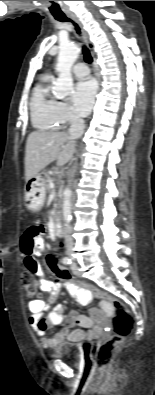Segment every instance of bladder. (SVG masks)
<instances>
[{
    "instance_id": "obj_1",
    "label": "bladder",
    "mask_w": 155,
    "mask_h": 395,
    "mask_svg": "<svg viewBox=\"0 0 155 395\" xmlns=\"http://www.w3.org/2000/svg\"><path fill=\"white\" fill-rule=\"evenodd\" d=\"M52 355L58 358H64L72 363H79L83 358V349L72 342L61 341L52 349Z\"/></svg>"
}]
</instances>
